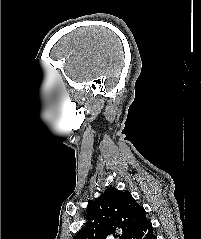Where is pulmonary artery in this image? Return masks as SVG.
I'll use <instances>...</instances> for the list:
<instances>
[{
  "label": "pulmonary artery",
  "instance_id": "e3ab8cb5",
  "mask_svg": "<svg viewBox=\"0 0 201 239\" xmlns=\"http://www.w3.org/2000/svg\"><path fill=\"white\" fill-rule=\"evenodd\" d=\"M107 239H114V238L110 236V237H108Z\"/></svg>",
  "mask_w": 201,
  "mask_h": 239
}]
</instances>
